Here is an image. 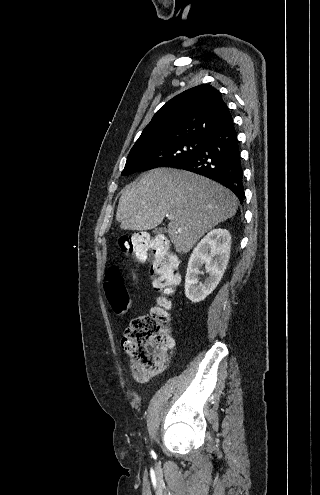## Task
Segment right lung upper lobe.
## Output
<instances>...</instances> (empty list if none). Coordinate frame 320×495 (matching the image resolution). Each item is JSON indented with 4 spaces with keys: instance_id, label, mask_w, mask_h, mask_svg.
<instances>
[{
    "instance_id": "1",
    "label": "right lung upper lobe",
    "mask_w": 320,
    "mask_h": 495,
    "mask_svg": "<svg viewBox=\"0 0 320 495\" xmlns=\"http://www.w3.org/2000/svg\"><path fill=\"white\" fill-rule=\"evenodd\" d=\"M232 121L221 93L209 84L190 88L165 103L133 147L185 138H205Z\"/></svg>"
}]
</instances>
